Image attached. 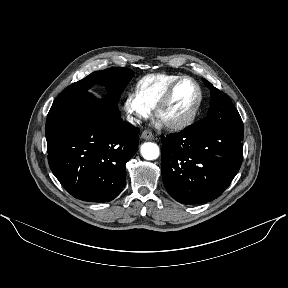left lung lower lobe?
Instances as JSON below:
<instances>
[{
  "label": "left lung lower lobe",
  "instance_id": "obj_1",
  "mask_svg": "<svg viewBox=\"0 0 288 288\" xmlns=\"http://www.w3.org/2000/svg\"><path fill=\"white\" fill-rule=\"evenodd\" d=\"M161 141L164 186L183 204L205 203L219 197L242 163L243 138L203 125L201 120Z\"/></svg>",
  "mask_w": 288,
  "mask_h": 288
}]
</instances>
